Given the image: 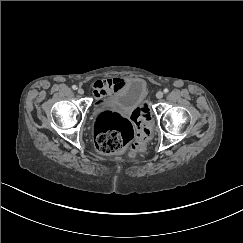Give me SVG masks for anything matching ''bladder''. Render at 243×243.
Instances as JSON below:
<instances>
[{"label":"bladder","instance_id":"1","mask_svg":"<svg viewBox=\"0 0 243 243\" xmlns=\"http://www.w3.org/2000/svg\"><path fill=\"white\" fill-rule=\"evenodd\" d=\"M146 95V81L140 77H131L126 79L117 91L100 101L98 107L104 110L131 113L143 104Z\"/></svg>","mask_w":243,"mask_h":243}]
</instances>
